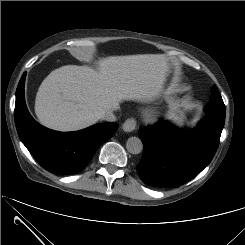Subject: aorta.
Returning <instances> with one entry per match:
<instances>
[{"mask_svg": "<svg viewBox=\"0 0 245 245\" xmlns=\"http://www.w3.org/2000/svg\"><path fill=\"white\" fill-rule=\"evenodd\" d=\"M126 148L131 154H139L143 150V144L140 138L130 137L126 142Z\"/></svg>", "mask_w": 245, "mask_h": 245, "instance_id": "obj_1", "label": "aorta"}]
</instances>
